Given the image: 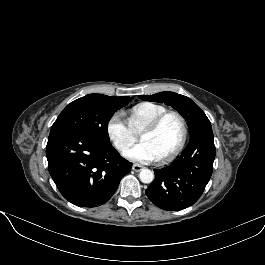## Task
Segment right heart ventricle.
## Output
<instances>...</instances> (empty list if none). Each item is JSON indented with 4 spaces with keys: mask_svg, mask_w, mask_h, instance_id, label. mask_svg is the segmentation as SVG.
Wrapping results in <instances>:
<instances>
[{
    "mask_svg": "<svg viewBox=\"0 0 265 265\" xmlns=\"http://www.w3.org/2000/svg\"><path fill=\"white\" fill-rule=\"evenodd\" d=\"M166 111H168V109L159 104L152 102L139 103L128 112L129 125L133 131L138 132L145 125Z\"/></svg>",
    "mask_w": 265,
    "mask_h": 265,
    "instance_id": "right-heart-ventricle-1",
    "label": "right heart ventricle"
}]
</instances>
